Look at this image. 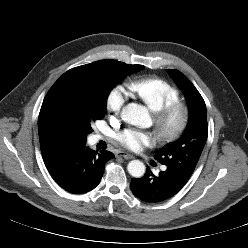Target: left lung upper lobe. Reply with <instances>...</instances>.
<instances>
[{
  "label": "left lung upper lobe",
  "instance_id": "left-lung-upper-lobe-1",
  "mask_svg": "<svg viewBox=\"0 0 248 248\" xmlns=\"http://www.w3.org/2000/svg\"><path fill=\"white\" fill-rule=\"evenodd\" d=\"M183 90L189 107V121L183 135L175 142L166 144L155 154V159L172 169L187 182L199 161L208 136L205 102L188 78L178 70L168 69Z\"/></svg>",
  "mask_w": 248,
  "mask_h": 248
}]
</instances>
